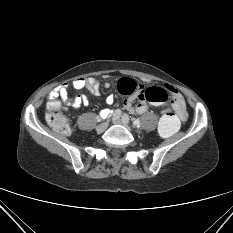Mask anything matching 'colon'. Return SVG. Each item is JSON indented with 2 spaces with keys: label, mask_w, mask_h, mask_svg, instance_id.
Instances as JSON below:
<instances>
[{
  "label": "colon",
  "mask_w": 233,
  "mask_h": 233,
  "mask_svg": "<svg viewBox=\"0 0 233 233\" xmlns=\"http://www.w3.org/2000/svg\"><path fill=\"white\" fill-rule=\"evenodd\" d=\"M117 88L123 95H132L138 97L141 101L150 102L155 105H166L170 98V93L165 88H145L132 79L120 80ZM46 120L57 133L67 135L70 132V125L62 113L61 105L58 101L51 100L48 103ZM180 124V117L165 108L158 126L160 136L163 138L174 136L178 132Z\"/></svg>",
  "instance_id": "colon-1"
}]
</instances>
